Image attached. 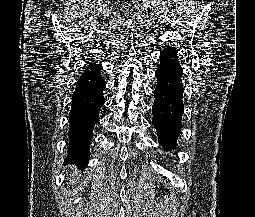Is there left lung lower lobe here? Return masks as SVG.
<instances>
[{
  "label": "left lung lower lobe",
  "mask_w": 255,
  "mask_h": 217,
  "mask_svg": "<svg viewBox=\"0 0 255 217\" xmlns=\"http://www.w3.org/2000/svg\"><path fill=\"white\" fill-rule=\"evenodd\" d=\"M160 61L155 73L158 82L152 106L153 126L157 130L159 143L166 150H172L177 145L176 139L181 131V118L184 113L183 69L173 47H167L161 52Z\"/></svg>",
  "instance_id": "1"
}]
</instances>
